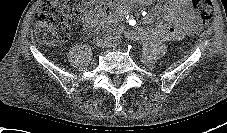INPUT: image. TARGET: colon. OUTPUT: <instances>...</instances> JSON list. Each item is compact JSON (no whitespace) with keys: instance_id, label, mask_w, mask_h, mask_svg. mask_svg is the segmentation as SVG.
<instances>
[{"instance_id":"obj_1","label":"colon","mask_w":227,"mask_h":133,"mask_svg":"<svg viewBox=\"0 0 227 133\" xmlns=\"http://www.w3.org/2000/svg\"><path fill=\"white\" fill-rule=\"evenodd\" d=\"M212 0H192L194 10L208 25L213 17ZM112 13L111 5H97L93 0H43L35 17L36 40L45 45L64 41L73 21L93 12Z\"/></svg>"}]
</instances>
